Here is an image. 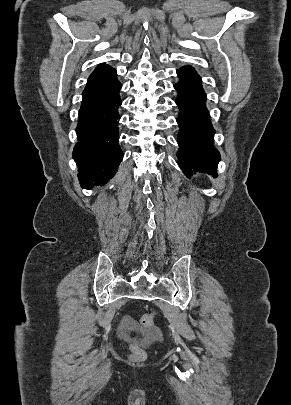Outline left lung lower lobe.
<instances>
[{
  "label": "left lung lower lobe",
  "mask_w": 291,
  "mask_h": 405,
  "mask_svg": "<svg viewBox=\"0 0 291 405\" xmlns=\"http://www.w3.org/2000/svg\"><path fill=\"white\" fill-rule=\"evenodd\" d=\"M177 75L180 82L174 84V88L179 94L176 103L180 108L178 164L187 177L194 172L216 175L220 154L212 143L214 131L205 106L206 94L201 78L191 66L178 69Z\"/></svg>",
  "instance_id": "left-lung-lower-lobe-1"
}]
</instances>
